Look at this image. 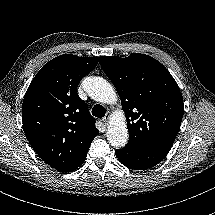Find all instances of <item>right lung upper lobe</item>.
Listing matches in <instances>:
<instances>
[{
  "label": "right lung upper lobe",
  "mask_w": 215,
  "mask_h": 215,
  "mask_svg": "<svg viewBox=\"0 0 215 215\" xmlns=\"http://www.w3.org/2000/svg\"><path fill=\"white\" fill-rule=\"evenodd\" d=\"M97 63L98 57L58 56L40 69L25 93V135L43 161L59 171L77 169L99 133L77 94L80 80Z\"/></svg>",
  "instance_id": "cb5924a9"
}]
</instances>
